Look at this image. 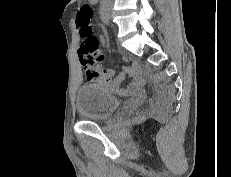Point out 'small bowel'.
<instances>
[{"instance_id":"small-bowel-1","label":"small bowel","mask_w":231,"mask_h":177,"mask_svg":"<svg viewBox=\"0 0 231 177\" xmlns=\"http://www.w3.org/2000/svg\"><path fill=\"white\" fill-rule=\"evenodd\" d=\"M89 2L90 4H94L97 1L95 2L89 0ZM83 68L85 69L84 66ZM88 69H91L93 72H95L94 74H90L87 73V69H85L88 83L104 86L108 90L119 95H126L128 93L136 92L144 84V78L141 75L140 67L138 65L126 66L120 74H116L113 70L110 69L99 71L96 69V64L93 69L90 67H88ZM125 76L130 77L131 82L126 87H122L121 81Z\"/></svg>"}]
</instances>
